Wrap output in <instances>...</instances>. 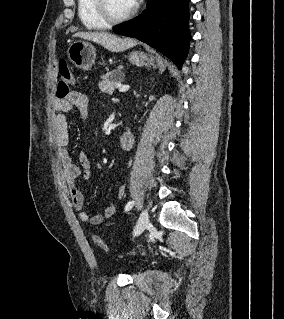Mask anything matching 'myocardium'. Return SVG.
I'll return each mask as SVG.
<instances>
[{"mask_svg": "<svg viewBox=\"0 0 284 319\" xmlns=\"http://www.w3.org/2000/svg\"><path fill=\"white\" fill-rule=\"evenodd\" d=\"M96 8L99 13V15L108 23V24H119L123 23L127 20H129L135 13V8L132 7V9L122 15V16H114L111 14L109 7H108V1L107 0H96Z\"/></svg>", "mask_w": 284, "mask_h": 319, "instance_id": "myocardium-1", "label": "myocardium"}]
</instances>
